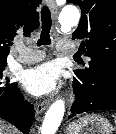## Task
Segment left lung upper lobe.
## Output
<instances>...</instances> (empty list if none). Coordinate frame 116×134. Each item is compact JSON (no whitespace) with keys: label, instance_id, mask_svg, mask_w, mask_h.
Returning a JSON list of instances; mask_svg holds the SVG:
<instances>
[{"label":"left lung upper lobe","instance_id":"5c2ea615","mask_svg":"<svg viewBox=\"0 0 116 134\" xmlns=\"http://www.w3.org/2000/svg\"><path fill=\"white\" fill-rule=\"evenodd\" d=\"M67 3L81 8V20L73 37L83 41L85 56L90 58L87 68L74 73L87 91H94L101 87L105 77L116 75V0H67Z\"/></svg>","mask_w":116,"mask_h":134}]
</instances>
